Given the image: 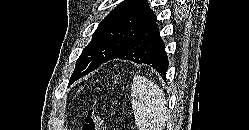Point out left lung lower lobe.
Masks as SVG:
<instances>
[{
    "mask_svg": "<svg viewBox=\"0 0 249 130\" xmlns=\"http://www.w3.org/2000/svg\"><path fill=\"white\" fill-rule=\"evenodd\" d=\"M115 58L130 60L138 64H147L153 67L166 80L168 59L165 45L155 23L135 36L112 59Z\"/></svg>",
    "mask_w": 249,
    "mask_h": 130,
    "instance_id": "left-lung-lower-lobe-1",
    "label": "left lung lower lobe"
}]
</instances>
